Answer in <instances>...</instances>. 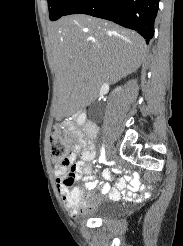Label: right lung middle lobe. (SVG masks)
Masks as SVG:
<instances>
[{"mask_svg": "<svg viewBox=\"0 0 183 246\" xmlns=\"http://www.w3.org/2000/svg\"><path fill=\"white\" fill-rule=\"evenodd\" d=\"M47 2L50 12L49 18L51 21H55L65 15L75 0H47Z\"/></svg>", "mask_w": 183, "mask_h": 246, "instance_id": "1", "label": "right lung middle lobe"}]
</instances>
